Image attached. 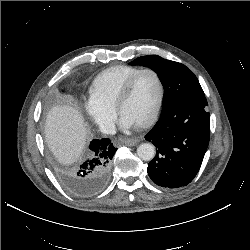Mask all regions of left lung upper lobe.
<instances>
[{
  "label": "left lung upper lobe",
  "instance_id": "5c2ea615",
  "mask_svg": "<svg viewBox=\"0 0 250 250\" xmlns=\"http://www.w3.org/2000/svg\"><path fill=\"white\" fill-rule=\"evenodd\" d=\"M130 64L149 67L158 74L165 90L162 113L182 102L204 96L196 76L181 63L149 55L139 57Z\"/></svg>",
  "mask_w": 250,
  "mask_h": 250
}]
</instances>
